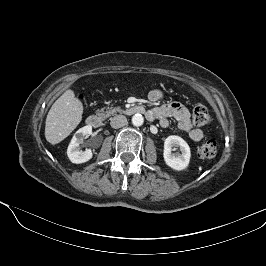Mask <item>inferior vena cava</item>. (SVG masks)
Returning <instances> with one entry per match:
<instances>
[{
  "label": "inferior vena cava",
  "instance_id": "1",
  "mask_svg": "<svg viewBox=\"0 0 266 266\" xmlns=\"http://www.w3.org/2000/svg\"><path fill=\"white\" fill-rule=\"evenodd\" d=\"M127 124V118L124 115H117L111 119L110 125L112 128H120Z\"/></svg>",
  "mask_w": 266,
  "mask_h": 266
}]
</instances>
